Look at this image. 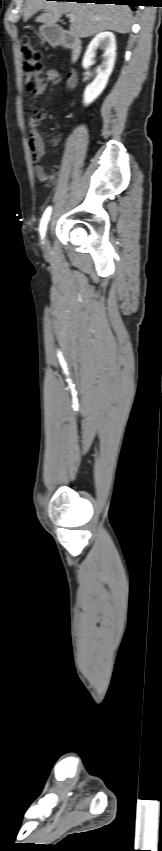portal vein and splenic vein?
<instances>
[{
  "label": "portal vein and splenic vein",
  "mask_w": 162,
  "mask_h": 851,
  "mask_svg": "<svg viewBox=\"0 0 162 851\" xmlns=\"http://www.w3.org/2000/svg\"><path fill=\"white\" fill-rule=\"evenodd\" d=\"M69 17H70V19H72V18H73V15H72V14H69Z\"/></svg>",
  "instance_id": "18ae733b"
}]
</instances>
